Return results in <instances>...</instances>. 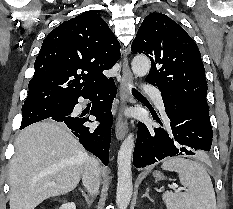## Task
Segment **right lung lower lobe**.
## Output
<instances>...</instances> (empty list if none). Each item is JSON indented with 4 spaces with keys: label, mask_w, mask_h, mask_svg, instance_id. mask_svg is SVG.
I'll return each instance as SVG.
<instances>
[{
    "label": "right lung lower lobe",
    "mask_w": 233,
    "mask_h": 209,
    "mask_svg": "<svg viewBox=\"0 0 233 209\" xmlns=\"http://www.w3.org/2000/svg\"><path fill=\"white\" fill-rule=\"evenodd\" d=\"M84 98L91 99L93 102L90 115H94L100 125L95 129L85 126V123L92 122L85 114H72L73 108L78 104V98L72 100V104L67 111L62 114L53 115L46 120L62 122L71 129V132L79 138V142L91 153L95 154L100 160L108 165L109 147L111 142V125L113 116L111 113V103L116 96V86L112 78L104 85L92 92L81 95ZM25 127H20L23 129Z\"/></svg>",
    "instance_id": "1"
}]
</instances>
